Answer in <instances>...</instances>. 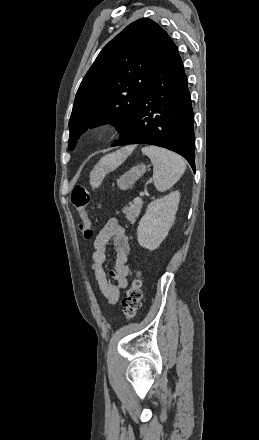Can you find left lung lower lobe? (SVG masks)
<instances>
[{"mask_svg":"<svg viewBox=\"0 0 259 440\" xmlns=\"http://www.w3.org/2000/svg\"><path fill=\"white\" fill-rule=\"evenodd\" d=\"M150 144L182 155L195 171L193 110L177 47L165 42L134 116L112 146Z\"/></svg>","mask_w":259,"mask_h":440,"instance_id":"left-lung-lower-lobe-1","label":"left lung lower lobe"}]
</instances>
